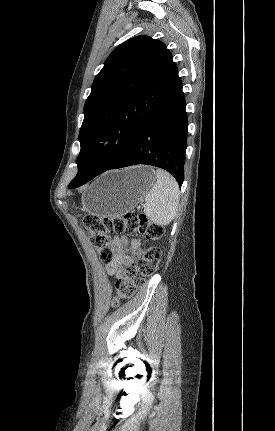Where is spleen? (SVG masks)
<instances>
[{"label": "spleen", "instance_id": "3e777b00", "mask_svg": "<svg viewBox=\"0 0 275 431\" xmlns=\"http://www.w3.org/2000/svg\"><path fill=\"white\" fill-rule=\"evenodd\" d=\"M156 182L145 195L144 213L153 223L168 225L176 216L179 205L177 181L163 169L155 172Z\"/></svg>", "mask_w": 275, "mask_h": 431}]
</instances>
